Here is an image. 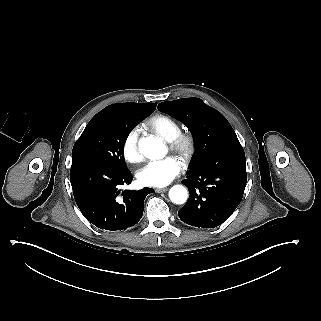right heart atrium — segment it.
Segmentation results:
<instances>
[{
  "label": "right heart atrium",
  "mask_w": 321,
  "mask_h": 321,
  "mask_svg": "<svg viewBox=\"0 0 321 321\" xmlns=\"http://www.w3.org/2000/svg\"><path fill=\"white\" fill-rule=\"evenodd\" d=\"M139 137L140 131L137 127H134L130 129L123 138L121 151L127 162H138L143 158Z\"/></svg>",
  "instance_id": "d8ad5b80"
}]
</instances>
